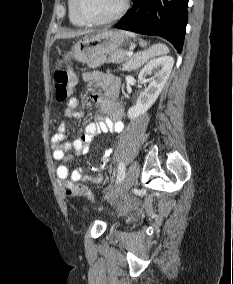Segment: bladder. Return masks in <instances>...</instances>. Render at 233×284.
<instances>
[{"label":"bladder","instance_id":"obj_1","mask_svg":"<svg viewBox=\"0 0 233 284\" xmlns=\"http://www.w3.org/2000/svg\"><path fill=\"white\" fill-rule=\"evenodd\" d=\"M81 210L83 214H88L89 213V209L86 205L81 206Z\"/></svg>","mask_w":233,"mask_h":284}]
</instances>
